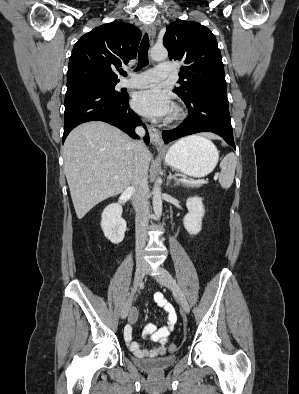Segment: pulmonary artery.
Here are the masks:
<instances>
[{
    "label": "pulmonary artery",
    "mask_w": 299,
    "mask_h": 394,
    "mask_svg": "<svg viewBox=\"0 0 299 394\" xmlns=\"http://www.w3.org/2000/svg\"><path fill=\"white\" fill-rule=\"evenodd\" d=\"M171 68V64L161 63L154 69L131 74L128 79L121 80L117 86L119 88L148 87L155 82L168 78L171 75Z\"/></svg>",
    "instance_id": "pulmonary-artery-1"
}]
</instances>
